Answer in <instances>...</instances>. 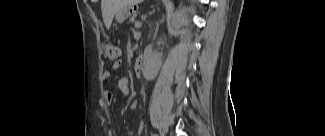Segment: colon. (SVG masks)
I'll return each instance as SVG.
<instances>
[{
    "instance_id": "5ec220e1",
    "label": "colon",
    "mask_w": 325,
    "mask_h": 136,
    "mask_svg": "<svg viewBox=\"0 0 325 136\" xmlns=\"http://www.w3.org/2000/svg\"><path fill=\"white\" fill-rule=\"evenodd\" d=\"M103 54L106 60L113 62L119 57L120 50L113 43H105L103 45Z\"/></svg>"
}]
</instances>
